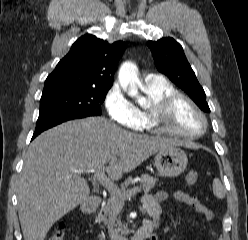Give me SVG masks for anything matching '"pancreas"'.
<instances>
[{
    "mask_svg": "<svg viewBox=\"0 0 248 240\" xmlns=\"http://www.w3.org/2000/svg\"><path fill=\"white\" fill-rule=\"evenodd\" d=\"M132 181V178H128L124 184L121 185V189H118L115 194H112L108 199L107 203L100 209L98 215L96 216V222H103L105 225L108 224V220L115 214L117 210L124 204V193L127 192V186ZM157 178H154L148 174H143L141 176V184L144 192H149L154 188ZM119 227L115 230L118 233L124 234L125 229L120 226L119 218L116 220ZM100 240H104L102 235L98 236Z\"/></svg>",
    "mask_w": 248,
    "mask_h": 240,
    "instance_id": "pancreas-1",
    "label": "pancreas"
}]
</instances>
